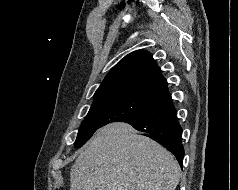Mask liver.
Listing matches in <instances>:
<instances>
[{
	"label": "liver",
	"instance_id": "6515ba94",
	"mask_svg": "<svg viewBox=\"0 0 238 190\" xmlns=\"http://www.w3.org/2000/svg\"><path fill=\"white\" fill-rule=\"evenodd\" d=\"M180 176L170 152L116 122L100 128L77 157L70 190H175Z\"/></svg>",
	"mask_w": 238,
	"mask_h": 190
}]
</instances>
